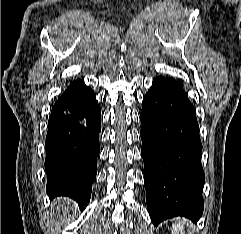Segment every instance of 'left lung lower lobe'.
<instances>
[{
    "mask_svg": "<svg viewBox=\"0 0 241 234\" xmlns=\"http://www.w3.org/2000/svg\"><path fill=\"white\" fill-rule=\"evenodd\" d=\"M140 120L146 203L153 224L178 215L197 222L204 208L202 144L195 109L182 85L156 77L143 97Z\"/></svg>",
    "mask_w": 241,
    "mask_h": 234,
    "instance_id": "0a47b994",
    "label": "left lung lower lobe"
}]
</instances>
